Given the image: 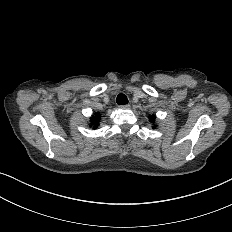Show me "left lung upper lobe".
Returning <instances> with one entry per match:
<instances>
[{
	"mask_svg": "<svg viewBox=\"0 0 232 232\" xmlns=\"http://www.w3.org/2000/svg\"><path fill=\"white\" fill-rule=\"evenodd\" d=\"M150 120H151L152 122H154L155 117H154V116H152Z\"/></svg>",
	"mask_w": 232,
	"mask_h": 232,
	"instance_id": "obj_1",
	"label": "left lung upper lobe"
}]
</instances>
